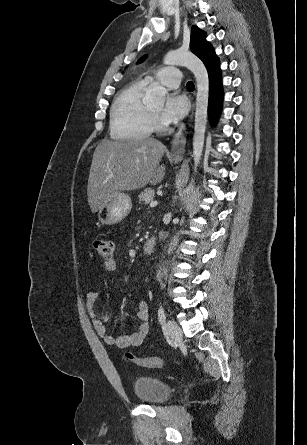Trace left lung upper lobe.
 Segmentation results:
<instances>
[{
  "label": "left lung upper lobe",
  "instance_id": "obj_1",
  "mask_svg": "<svg viewBox=\"0 0 307 445\" xmlns=\"http://www.w3.org/2000/svg\"><path fill=\"white\" fill-rule=\"evenodd\" d=\"M206 34L204 31L200 30L198 27L193 26L191 31V41L190 47L191 51L198 56L203 63L208 65L212 60L216 59L217 56L213 51L209 42L205 40ZM146 56H143L139 62L144 61Z\"/></svg>",
  "mask_w": 307,
  "mask_h": 445
}]
</instances>
